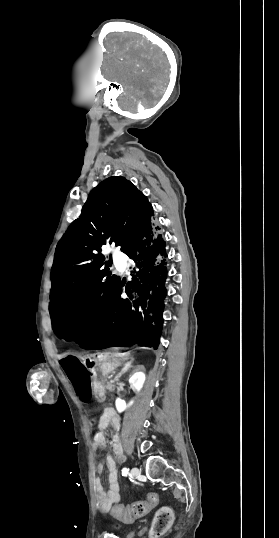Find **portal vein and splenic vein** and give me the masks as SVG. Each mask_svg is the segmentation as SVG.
I'll return each mask as SVG.
<instances>
[{"mask_svg":"<svg viewBox=\"0 0 279 538\" xmlns=\"http://www.w3.org/2000/svg\"><path fill=\"white\" fill-rule=\"evenodd\" d=\"M110 383H115V380H110Z\"/></svg>","mask_w":279,"mask_h":538,"instance_id":"obj_1","label":"portal vein and splenic vein"}]
</instances>
